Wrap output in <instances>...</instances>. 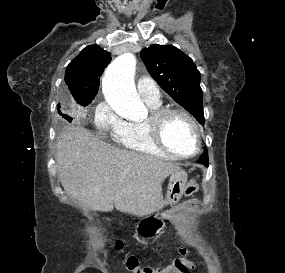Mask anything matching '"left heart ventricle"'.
<instances>
[{"instance_id": "b2bd125f", "label": "left heart ventricle", "mask_w": 285, "mask_h": 273, "mask_svg": "<svg viewBox=\"0 0 285 273\" xmlns=\"http://www.w3.org/2000/svg\"><path fill=\"white\" fill-rule=\"evenodd\" d=\"M162 135L166 145L176 153L189 155L196 148L194 127L182 115L169 116L164 123Z\"/></svg>"}]
</instances>
